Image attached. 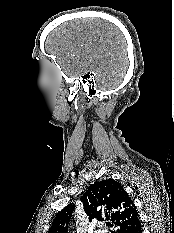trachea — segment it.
I'll use <instances>...</instances> for the list:
<instances>
[{"label": "trachea", "mask_w": 174, "mask_h": 233, "mask_svg": "<svg viewBox=\"0 0 174 233\" xmlns=\"http://www.w3.org/2000/svg\"><path fill=\"white\" fill-rule=\"evenodd\" d=\"M107 226H111V224H110V223H107Z\"/></svg>", "instance_id": "obj_1"}]
</instances>
